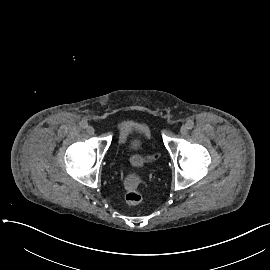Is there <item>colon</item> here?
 <instances>
[{
	"label": "colon",
	"mask_w": 270,
	"mask_h": 270,
	"mask_svg": "<svg viewBox=\"0 0 270 270\" xmlns=\"http://www.w3.org/2000/svg\"><path fill=\"white\" fill-rule=\"evenodd\" d=\"M125 201L128 204L136 205L139 204L142 200V194L136 183L133 180L126 181V191L124 194Z\"/></svg>",
	"instance_id": "1"
}]
</instances>
